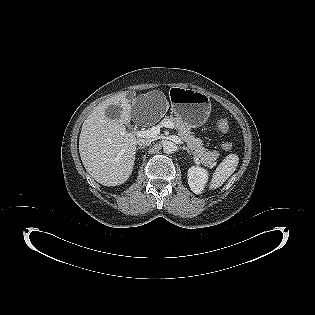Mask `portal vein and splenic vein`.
I'll list each match as a JSON object with an SVG mask.
<instances>
[{"label":"portal vein and splenic vein","instance_id":"portal-vein-and-splenic-vein-1","mask_svg":"<svg viewBox=\"0 0 315 315\" xmlns=\"http://www.w3.org/2000/svg\"><path fill=\"white\" fill-rule=\"evenodd\" d=\"M162 127L173 129L175 126L171 122H161L159 125L153 126L148 130H137L133 133L140 138H154L160 134V129ZM194 160L197 162L198 159L195 157Z\"/></svg>","mask_w":315,"mask_h":315}]
</instances>
